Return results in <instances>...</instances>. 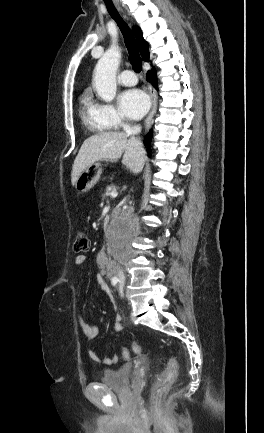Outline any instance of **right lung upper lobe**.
<instances>
[{
    "label": "right lung upper lobe",
    "mask_w": 264,
    "mask_h": 433,
    "mask_svg": "<svg viewBox=\"0 0 264 433\" xmlns=\"http://www.w3.org/2000/svg\"><path fill=\"white\" fill-rule=\"evenodd\" d=\"M133 30L135 32L137 41H138V46L140 49V53L142 55V57L144 59H146L147 61L149 60V45L148 43L143 39V35H142V31L139 27H133Z\"/></svg>",
    "instance_id": "right-lung-upper-lobe-1"
}]
</instances>
